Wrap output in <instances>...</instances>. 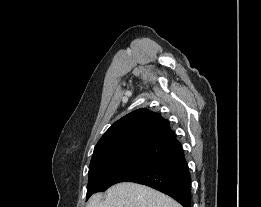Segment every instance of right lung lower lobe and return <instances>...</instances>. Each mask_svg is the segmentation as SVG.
Masks as SVG:
<instances>
[{"label":"right lung lower lobe","instance_id":"right-lung-lower-lobe-1","mask_svg":"<svg viewBox=\"0 0 261 207\" xmlns=\"http://www.w3.org/2000/svg\"><path fill=\"white\" fill-rule=\"evenodd\" d=\"M125 181L150 186L169 195L183 207H191V176L183 151Z\"/></svg>","mask_w":261,"mask_h":207}]
</instances>
